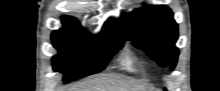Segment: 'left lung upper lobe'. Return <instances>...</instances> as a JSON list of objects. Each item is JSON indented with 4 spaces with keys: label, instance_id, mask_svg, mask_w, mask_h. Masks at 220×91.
<instances>
[{
    "label": "left lung upper lobe",
    "instance_id": "1",
    "mask_svg": "<svg viewBox=\"0 0 220 91\" xmlns=\"http://www.w3.org/2000/svg\"><path fill=\"white\" fill-rule=\"evenodd\" d=\"M127 40L147 52L161 66L172 62L174 68L179 54L175 47L178 27L172 11L165 5L144 6L121 18Z\"/></svg>",
    "mask_w": 220,
    "mask_h": 91
}]
</instances>
